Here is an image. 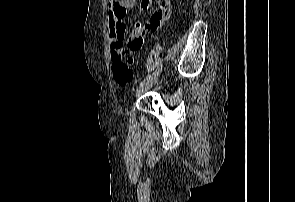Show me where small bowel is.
I'll return each instance as SVG.
<instances>
[{"instance_id": "c3829d8e", "label": "small bowel", "mask_w": 295, "mask_h": 202, "mask_svg": "<svg viewBox=\"0 0 295 202\" xmlns=\"http://www.w3.org/2000/svg\"><path fill=\"white\" fill-rule=\"evenodd\" d=\"M135 0H108L109 37L111 45V59L117 51L134 52L139 50L146 42L147 35L157 30L171 12L170 0H157L159 5L150 19L144 24H137L128 39V46H124L125 26L123 19L127 10L133 7ZM152 0H140V9L148 10Z\"/></svg>"}]
</instances>
